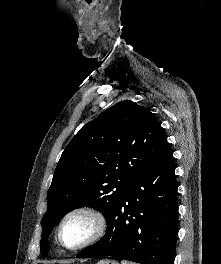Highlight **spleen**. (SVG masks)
Wrapping results in <instances>:
<instances>
[{
	"label": "spleen",
	"mask_w": 221,
	"mask_h": 264,
	"mask_svg": "<svg viewBox=\"0 0 221 264\" xmlns=\"http://www.w3.org/2000/svg\"><path fill=\"white\" fill-rule=\"evenodd\" d=\"M121 264H135V263H130V262L123 260V261H121Z\"/></svg>",
	"instance_id": "3e777b00"
}]
</instances>
